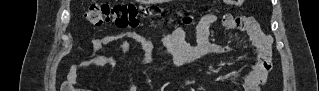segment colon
<instances>
[{"mask_svg":"<svg viewBox=\"0 0 319 91\" xmlns=\"http://www.w3.org/2000/svg\"><path fill=\"white\" fill-rule=\"evenodd\" d=\"M229 6H239L242 0H228L225 1ZM163 9L161 7H146L139 8L134 4L125 3H95L92 4L85 12V20L95 27H99L105 24L112 23L119 28H135L141 23V16H161ZM194 18L190 15H183L180 18L182 25H191ZM168 23L167 20L161 18L155 22L157 25H163ZM261 60L266 68H270L271 51L270 46L266 45L265 49L261 53Z\"/></svg>","mask_w":319,"mask_h":91,"instance_id":"obj_1","label":"colon"}]
</instances>
